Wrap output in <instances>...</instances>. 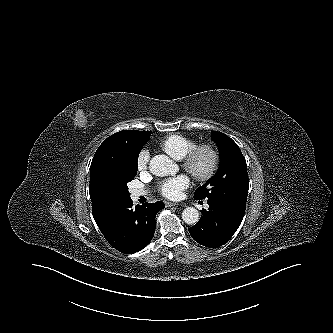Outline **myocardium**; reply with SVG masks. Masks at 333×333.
<instances>
[{
	"instance_id": "myocardium-1",
	"label": "myocardium",
	"mask_w": 333,
	"mask_h": 333,
	"mask_svg": "<svg viewBox=\"0 0 333 333\" xmlns=\"http://www.w3.org/2000/svg\"><path fill=\"white\" fill-rule=\"evenodd\" d=\"M208 156V164L203 171L195 168V163L199 155ZM219 164V154L211 144H200L193 147L181 160L182 168L197 181H207L213 177Z\"/></svg>"
}]
</instances>
